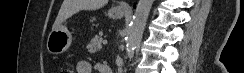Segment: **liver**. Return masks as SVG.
Masks as SVG:
<instances>
[{
  "label": "liver",
  "instance_id": "obj_1",
  "mask_svg": "<svg viewBox=\"0 0 244 73\" xmlns=\"http://www.w3.org/2000/svg\"><path fill=\"white\" fill-rule=\"evenodd\" d=\"M108 0H64L52 30L57 29L66 19L81 10H97L103 7Z\"/></svg>",
  "mask_w": 244,
  "mask_h": 73
}]
</instances>
